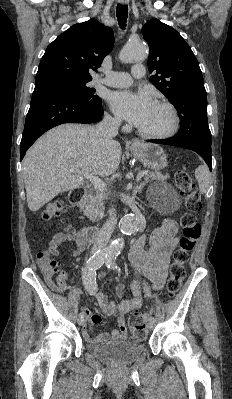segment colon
I'll return each instance as SVG.
<instances>
[{"label": "colon", "mask_w": 232, "mask_h": 399, "mask_svg": "<svg viewBox=\"0 0 232 399\" xmlns=\"http://www.w3.org/2000/svg\"><path fill=\"white\" fill-rule=\"evenodd\" d=\"M174 181L178 184V188L182 196L187 197L186 209H183L180 222H183L182 230L183 236L178 241V251L174 252V260L171 263V275L168 277V287L164 290V296L168 300H173L177 296V291L181 288V282L185 274L184 264L190 261L189 253L193 250L192 243L198 239V235H202L200 225L195 219L197 211H201V203L199 200L200 191L197 185L190 181V175H187L183 170H177L173 174ZM67 208L63 204H59L58 199H51L40 206L35 213V218L39 222H44L53 213L59 215L65 214ZM55 256V251L51 247H46L37 253V261L41 264L42 273L48 278L51 283V290L61 292L66 290V283L64 277L54 268L50 260ZM129 324L133 330L132 341H143V335H146V326L143 324L140 317H129Z\"/></svg>", "instance_id": "1"}]
</instances>
